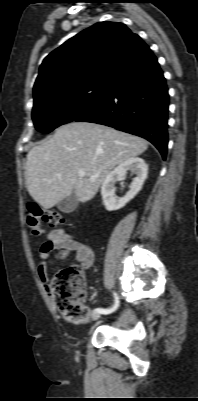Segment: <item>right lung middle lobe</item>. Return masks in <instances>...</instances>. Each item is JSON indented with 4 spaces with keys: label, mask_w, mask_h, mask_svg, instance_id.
<instances>
[{
    "label": "right lung middle lobe",
    "mask_w": 198,
    "mask_h": 401,
    "mask_svg": "<svg viewBox=\"0 0 198 401\" xmlns=\"http://www.w3.org/2000/svg\"><path fill=\"white\" fill-rule=\"evenodd\" d=\"M108 84L84 83L40 96L34 100L32 112L35 128L49 133L60 125L74 121L100 100Z\"/></svg>",
    "instance_id": "dd1d6c3e"
}]
</instances>
